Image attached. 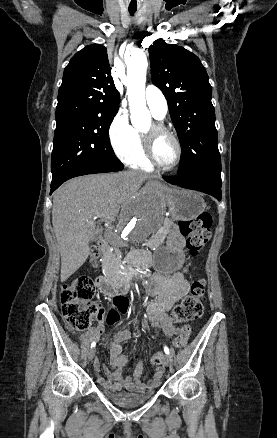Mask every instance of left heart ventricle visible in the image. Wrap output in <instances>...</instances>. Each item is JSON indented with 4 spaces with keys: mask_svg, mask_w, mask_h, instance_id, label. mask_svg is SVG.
<instances>
[{
    "mask_svg": "<svg viewBox=\"0 0 277 438\" xmlns=\"http://www.w3.org/2000/svg\"><path fill=\"white\" fill-rule=\"evenodd\" d=\"M151 130V124L143 131L148 133ZM156 155L161 163L164 165H171L177 155V147L173 139L168 136L162 135L156 142Z\"/></svg>",
    "mask_w": 277,
    "mask_h": 438,
    "instance_id": "left-heart-ventricle-1",
    "label": "left heart ventricle"
}]
</instances>
